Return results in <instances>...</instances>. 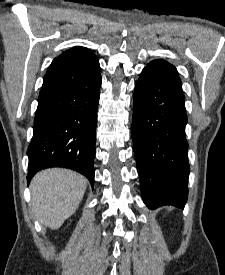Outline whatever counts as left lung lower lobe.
Segmentation results:
<instances>
[{
    "mask_svg": "<svg viewBox=\"0 0 225 275\" xmlns=\"http://www.w3.org/2000/svg\"><path fill=\"white\" fill-rule=\"evenodd\" d=\"M187 115L182 87L143 69L131 135L144 203L184 208L188 195Z\"/></svg>",
    "mask_w": 225,
    "mask_h": 275,
    "instance_id": "1",
    "label": "left lung lower lobe"
}]
</instances>
